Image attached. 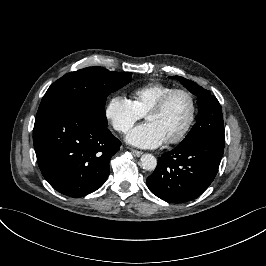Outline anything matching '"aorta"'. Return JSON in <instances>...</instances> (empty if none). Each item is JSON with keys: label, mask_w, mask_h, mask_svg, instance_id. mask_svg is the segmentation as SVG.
<instances>
[{"label": "aorta", "mask_w": 266, "mask_h": 266, "mask_svg": "<svg viewBox=\"0 0 266 266\" xmlns=\"http://www.w3.org/2000/svg\"><path fill=\"white\" fill-rule=\"evenodd\" d=\"M141 167L147 171H152L157 166V159L152 154H143L140 158Z\"/></svg>", "instance_id": "obj_1"}]
</instances>
